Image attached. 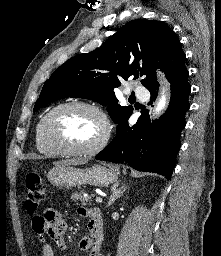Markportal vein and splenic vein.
I'll use <instances>...</instances> for the list:
<instances>
[{
	"instance_id": "1",
	"label": "portal vein and splenic vein",
	"mask_w": 221,
	"mask_h": 256,
	"mask_svg": "<svg viewBox=\"0 0 221 256\" xmlns=\"http://www.w3.org/2000/svg\"><path fill=\"white\" fill-rule=\"evenodd\" d=\"M95 201H96V203H102V198L101 197H96Z\"/></svg>"
}]
</instances>
